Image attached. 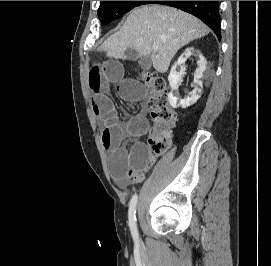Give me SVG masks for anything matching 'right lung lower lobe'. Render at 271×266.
Here are the masks:
<instances>
[{"label": "right lung lower lobe", "instance_id": "98d812e1", "mask_svg": "<svg viewBox=\"0 0 271 266\" xmlns=\"http://www.w3.org/2000/svg\"><path fill=\"white\" fill-rule=\"evenodd\" d=\"M151 3L177 7L198 17L215 32L219 40L221 39L219 1H152Z\"/></svg>", "mask_w": 271, "mask_h": 266}]
</instances>
